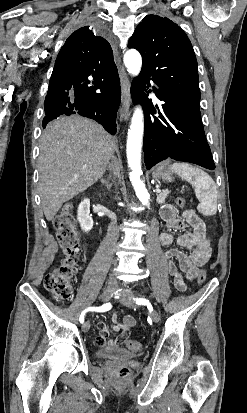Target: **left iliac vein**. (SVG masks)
<instances>
[{
  "instance_id": "obj_1",
  "label": "left iliac vein",
  "mask_w": 247,
  "mask_h": 413,
  "mask_svg": "<svg viewBox=\"0 0 247 413\" xmlns=\"http://www.w3.org/2000/svg\"><path fill=\"white\" fill-rule=\"evenodd\" d=\"M127 293L129 294V296H132V297H133L132 293H130V292H127ZM120 302H121L123 305H125V306H127V307H130V308H134V307L137 306L132 300L128 299L127 297H121V298H120ZM151 318H152V320H153L154 323H158L159 320H160L159 313H158L156 310H153V311L151 312Z\"/></svg>"
}]
</instances>
